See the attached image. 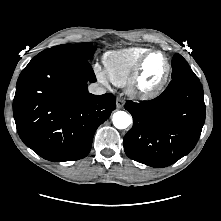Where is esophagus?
Returning <instances> with one entry per match:
<instances>
[{
  "mask_svg": "<svg viewBox=\"0 0 221 221\" xmlns=\"http://www.w3.org/2000/svg\"><path fill=\"white\" fill-rule=\"evenodd\" d=\"M124 104H125L124 99L121 98V97H118L117 100H116V106H117V108H118V109L123 108Z\"/></svg>",
  "mask_w": 221,
  "mask_h": 221,
  "instance_id": "obj_1",
  "label": "esophagus"
}]
</instances>
